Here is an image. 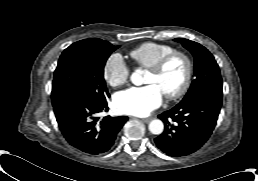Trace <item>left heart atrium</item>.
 Segmentation results:
<instances>
[{"label": "left heart atrium", "mask_w": 258, "mask_h": 181, "mask_svg": "<svg viewBox=\"0 0 258 181\" xmlns=\"http://www.w3.org/2000/svg\"><path fill=\"white\" fill-rule=\"evenodd\" d=\"M162 99V90L155 84H149L117 93L114 106L118 112L123 114L145 116L158 108Z\"/></svg>", "instance_id": "1"}]
</instances>
